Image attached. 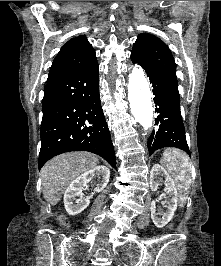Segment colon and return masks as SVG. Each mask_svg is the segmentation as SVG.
<instances>
[{"label":"colon","mask_w":221,"mask_h":266,"mask_svg":"<svg viewBox=\"0 0 221 266\" xmlns=\"http://www.w3.org/2000/svg\"><path fill=\"white\" fill-rule=\"evenodd\" d=\"M62 223L65 225L67 224L66 220L65 219H62Z\"/></svg>","instance_id":"1"}]
</instances>
